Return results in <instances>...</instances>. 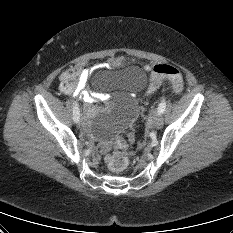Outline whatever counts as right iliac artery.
Here are the masks:
<instances>
[{
  "instance_id": "1",
  "label": "right iliac artery",
  "mask_w": 233,
  "mask_h": 233,
  "mask_svg": "<svg viewBox=\"0 0 233 233\" xmlns=\"http://www.w3.org/2000/svg\"><path fill=\"white\" fill-rule=\"evenodd\" d=\"M80 117L79 105L76 101L73 102V120L74 122H78Z\"/></svg>"
}]
</instances>
